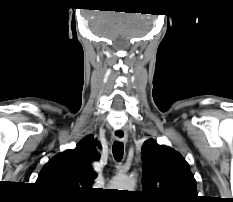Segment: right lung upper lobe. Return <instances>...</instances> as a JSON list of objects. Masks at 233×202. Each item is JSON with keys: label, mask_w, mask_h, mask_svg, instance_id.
Instances as JSON below:
<instances>
[{"label": "right lung upper lobe", "mask_w": 233, "mask_h": 202, "mask_svg": "<svg viewBox=\"0 0 233 202\" xmlns=\"http://www.w3.org/2000/svg\"><path fill=\"white\" fill-rule=\"evenodd\" d=\"M92 136L84 138L74 150H67L48 161L37 183L60 196H80L90 190L96 178L91 162L99 158Z\"/></svg>", "instance_id": "cb5924a9"}]
</instances>
